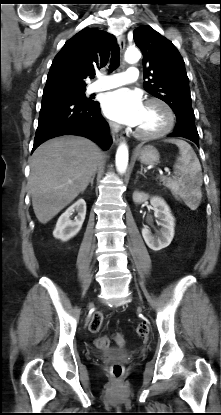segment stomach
Wrapping results in <instances>:
<instances>
[{
	"mask_svg": "<svg viewBox=\"0 0 221 415\" xmlns=\"http://www.w3.org/2000/svg\"><path fill=\"white\" fill-rule=\"evenodd\" d=\"M134 155L142 164L146 165H156L160 160L158 150L151 145L137 147Z\"/></svg>",
	"mask_w": 221,
	"mask_h": 415,
	"instance_id": "stomach-1",
	"label": "stomach"
}]
</instances>
